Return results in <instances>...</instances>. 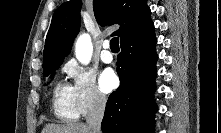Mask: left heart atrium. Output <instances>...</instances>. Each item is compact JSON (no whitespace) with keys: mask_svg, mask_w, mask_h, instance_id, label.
Listing matches in <instances>:
<instances>
[{"mask_svg":"<svg viewBox=\"0 0 221 133\" xmlns=\"http://www.w3.org/2000/svg\"><path fill=\"white\" fill-rule=\"evenodd\" d=\"M117 85V76L111 68H106L100 75V87L104 92L112 91Z\"/></svg>","mask_w":221,"mask_h":133,"instance_id":"left-heart-atrium-1","label":"left heart atrium"}]
</instances>
